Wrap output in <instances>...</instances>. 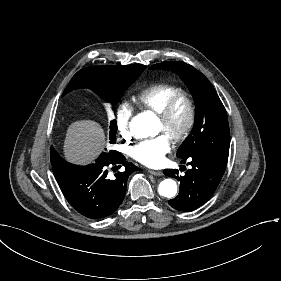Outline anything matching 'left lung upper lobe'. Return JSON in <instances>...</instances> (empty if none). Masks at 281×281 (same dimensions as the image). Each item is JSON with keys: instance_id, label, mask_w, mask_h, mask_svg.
Returning <instances> with one entry per match:
<instances>
[{"instance_id": "obj_1", "label": "left lung upper lobe", "mask_w": 281, "mask_h": 281, "mask_svg": "<svg viewBox=\"0 0 281 281\" xmlns=\"http://www.w3.org/2000/svg\"><path fill=\"white\" fill-rule=\"evenodd\" d=\"M152 69L173 71L186 83L195 100V124L177 151L179 158L195 154L227 164L230 133L226 110L210 81L193 66L184 62H162Z\"/></svg>"}]
</instances>
